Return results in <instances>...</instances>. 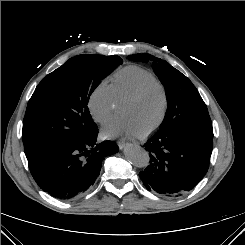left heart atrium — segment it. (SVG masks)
I'll list each match as a JSON object with an SVG mask.
<instances>
[{"instance_id": "39dd6f15", "label": "left heart atrium", "mask_w": 245, "mask_h": 245, "mask_svg": "<svg viewBox=\"0 0 245 245\" xmlns=\"http://www.w3.org/2000/svg\"><path fill=\"white\" fill-rule=\"evenodd\" d=\"M103 134L105 136L123 134L129 138L140 136V133L133 126H131L126 119L121 122H113L108 124L104 127Z\"/></svg>"}]
</instances>
